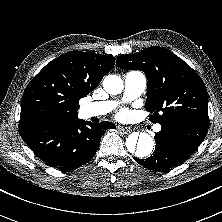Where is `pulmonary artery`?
<instances>
[{
	"label": "pulmonary artery",
	"instance_id": "1",
	"mask_svg": "<svg viewBox=\"0 0 222 222\" xmlns=\"http://www.w3.org/2000/svg\"><path fill=\"white\" fill-rule=\"evenodd\" d=\"M146 87V77L140 71H129L124 77L123 100L129 101L140 96ZM117 105L114 101H100L87 104L83 107L85 117L102 116L112 111ZM155 131L161 130V125L155 126Z\"/></svg>",
	"mask_w": 222,
	"mask_h": 222
}]
</instances>
